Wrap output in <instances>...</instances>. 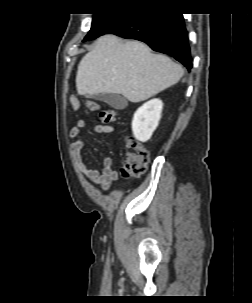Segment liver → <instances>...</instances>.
<instances>
[{
    "label": "liver",
    "mask_w": 252,
    "mask_h": 303,
    "mask_svg": "<svg viewBox=\"0 0 252 303\" xmlns=\"http://www.w3.org/2000/svg\"><path fill=\"white\" fill-rule=\"evenodd\" d=\"M183 74L181 65L151 53L144 43L104 35L80 61L76 88L79 95L121 94L137 103L176 84Z\"/></svg>",
    "instance_id": "liver-1"
}]
</instances>
